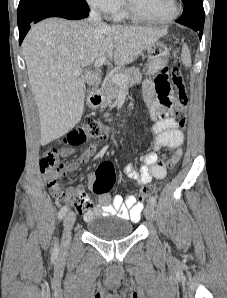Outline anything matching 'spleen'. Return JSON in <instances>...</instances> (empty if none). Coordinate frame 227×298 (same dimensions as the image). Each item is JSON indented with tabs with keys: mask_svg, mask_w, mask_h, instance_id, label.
<instances>
[{
	"mask_svg": "<svg viewBox=\"0 0 227 298\" xmlns=\"http://www.w3.org/2000/svg\"><path fill=\"white\" fill-rule=\"evenodd\" d=\"M181 59L186 67H191V55L189 48L186 44H184L182 47Z\"/></svg>",
	"mask_w": 227,
	"mask_h": 298,
	"instance_id": "spleen-1",
	"label": "spleen"
}]
</instances>
